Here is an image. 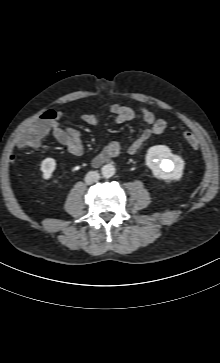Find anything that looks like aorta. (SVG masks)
<instances>
[{"mask_svg":"<svg viewBox=\"0 0 220 363\" xmlns=\"http://www.w3.org/2000/svg\"><path fill=\"white\" fill-rule=\"evenodd\" d=\"M104 177H111L115 174V167L112 164H106L101 169Z\"/></svg>","mask_w":220,"mask_h":363,"instance_id":"762f6f07","label":"aorta"}]
</instances>
